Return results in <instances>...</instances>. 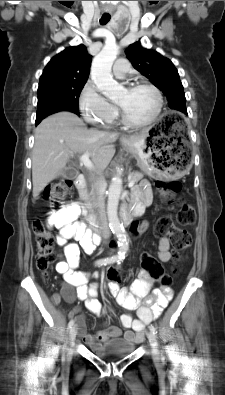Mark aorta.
I'll return each mask as SVG.
<instances>
[{
  "mask_svg": "<svg viewBox=\"0 0 225 395\" xmlns=\"http://www.w3.org/2000/svg\"><path fill=\"white\" fill-rule=\"evenodd\" d=\"M119 53V47L114 43L106 44L92 62L91 78L97 89L111 100L117 99L123 92V86L111 75L112 65ZM122 192V179L115 176L108 189L107 217L109 227L117 237V258L123 259L129 250V241L123 224L118 218L119 198Z\"/></svg>",
  "mask_w": 225,
  "mask_h": 395,
  "instance_id": "obj_1",
  "label": "aorta"
}]
</instances>
